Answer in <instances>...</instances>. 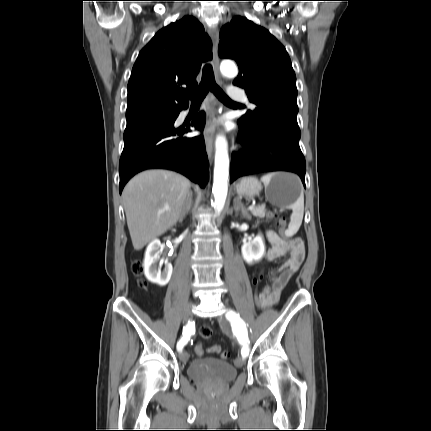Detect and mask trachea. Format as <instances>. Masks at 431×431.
I'll return each mask as SVG.
<instances>
[{
  "label": "trachea",
  "instance_id": "trachea-1",
  "mask_svg": "<svg viewBox=\"0 0 431 431\" xmlns=\"http://www.w3.org/2000/svg\"><path fill=\"white\" fill-rule=\"evenodd\" d=\"M209 91L213 92L223 103L241 106L232 101L216 84L212 67L210 65H206L203 69V75L199 86L194 92L188 93L187 97L192 100L193 105L201 104Z\"/></svg>",
  "mask_w": 431,
  "mask_h": 431
}]
</instances>
